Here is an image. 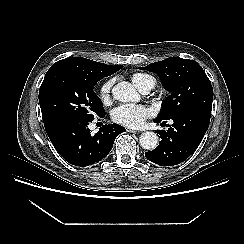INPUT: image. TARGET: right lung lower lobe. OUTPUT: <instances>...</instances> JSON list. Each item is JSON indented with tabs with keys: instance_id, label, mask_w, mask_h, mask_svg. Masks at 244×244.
I'll return each instance as SVG.
<instances>
[{
	"instance_id": "1",
	"label": "right lung lower lobe",
	"mask_w": 244,
	"mask_h": 244,
	"mask_svg": "<svg viewBox=\"0 0 244 244\" xmlns=\"http://www.w3.org/2000/svg\"><path fill=\"white\" fill-rule=\"evenodd\" d=\"M92 121L69 118L44 125L55 149L72 165L84 167L101 161L111 151L115 138L126 131L118 124H108L91 134L88 125Z\"/></svg>"
}]
</instances>
